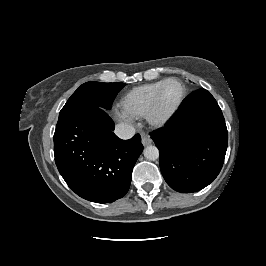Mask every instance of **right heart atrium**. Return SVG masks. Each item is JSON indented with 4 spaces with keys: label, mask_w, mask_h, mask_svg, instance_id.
Wrapping results in <instances>:
<instances>
[{
    "label": "right heart atrium",
    "mask_w": 266,
    "mask_h": 266,
    "mask_svg": "<svg viewBox=\"0 0 266 266\" xmlns=\"http://www.w3.org/2000/svg\"><path fill=\"white\" fill-rule=\"evenodd\" d=\"M114 116L117 120L120 121H130L132 119V116L124 109L116 108L114 110Z\"/></svg>",
    "instance_id": "right-heart-atrium-1"
}]
</instances>
